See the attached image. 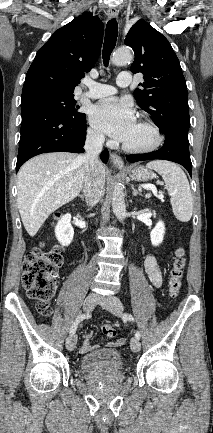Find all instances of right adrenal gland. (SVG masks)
<instances>
[{
  "mask_svg": "<svg viewBox=\"0 0 213 433\" xmlns=\"http://www.w3.org/2000/svg\"><path fill=\"white\" fill-rule=\"evenodd\" d=\"M79 197L81 198V200H82V201H84V200H85V198H84V196H83V195H80Z\"/></svg>",
  "mask_w": 213,
  "mask_h": 433,
  "instance_id": "2a0ac1e0",
  "label": "right adrenal gland"
}]
</instances>
